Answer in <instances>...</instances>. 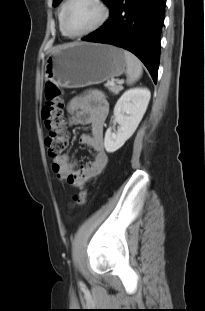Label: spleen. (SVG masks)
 Here are the masks:
<instances>
[{
    "mask_svg": "<svg viewBox=\"0 0 205 311\" xmlns=\"http://www.w3.org/2000/svg\"><path fill=\"white\" fill-rule=\"evenodd\" d=\"M126 63H127V83L132 84L138 80L142 74V64L140 60L131 52L124 51Z\"/></svg>",
    "mask_w": 205,
    "mask_h": 311,
    "instance_id": "spleen-1",
    "label": "spleen"
}]
</instances>
